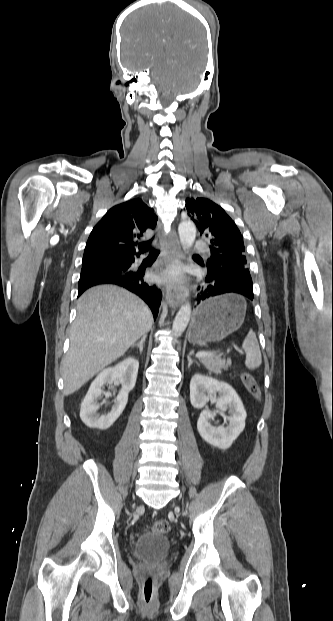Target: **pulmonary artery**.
<instances>
[{"instance_id":"obj_1","label":"pulmonary artery","mask_w":333,"mask_h":621,"mask_svg":"<svg viewBox=\"0 0 333 621\" xmlns=\"http://www.w3.org/2000/svg\"><path fill=\"white\" fill-rule=\"evenodd\" d=\"M194 248L197 250H203L206 248V245L202 240H197L194 243Z\"/></svg>"}]
</instances>
